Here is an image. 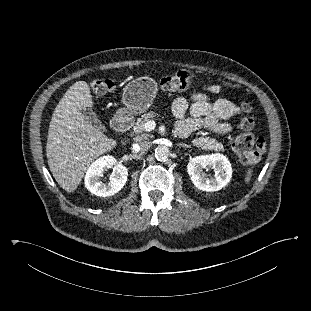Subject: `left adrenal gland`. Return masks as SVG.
Here are the masks:
<instances>
[{
  "label": "left adrenal gland",
  "instance_id": "obj_1",
  "mask_svg": "<svg viewBox=\"0 0 311 311\" xmlns=\"http://www.w3.org/2000/svg\"><path fill=\"white\" fill-rule=\"evenodd\" d=\"M177 146H178V147L191 148V146H190V145L183 144V143H179Z\"/></svg>",
  "mask_w": 311,
  "mask_h": 311
}]
</instances>
